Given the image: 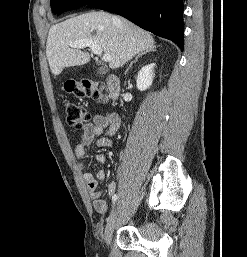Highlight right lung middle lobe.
Here are the masks:
<instances>
[{
  "mask_svg": "<svg viewBox=\"0 0 247 257\" xmlns=\"http://www.w3.org/2000/svg\"><path fill=\"white\" fill-rule=\"evenodd\" d=\"M93 1L94 0H50V4L53 13L60 15L65 11L88 5Z\"/></svg>",
  "mask_w": 247,
  "mask_h": 257,
  "instance_id": "right-lung-middle-lobe-1",
  "label": "right lung middle lobe"
}]
</instances>
